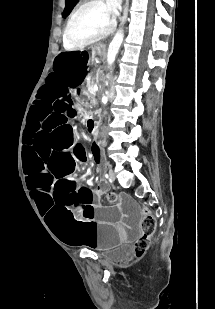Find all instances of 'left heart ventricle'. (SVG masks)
Wrapping results in <instances>:
<instances>
[{"mask_svg": "<svg viewBox=\"0 0 215 309\" xmlns=\"http://www.w3.org/2000/svg\"><path fill=\"white\" fill-rule=\"evenodd\" d=\"M81 13L83 19L76 20V24L71 26L69 33L72 34V39L88 41V34H93L94 29H105L108 20L105 18L104 9L101 7H91Z\"/></svg>", "mask_w": 215, "mask_h": 309, "instance_id": "left-heart-ventricle-1", "label": "left heart ventricle"}]
</instances>
